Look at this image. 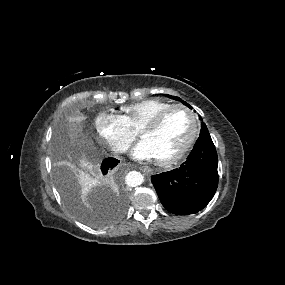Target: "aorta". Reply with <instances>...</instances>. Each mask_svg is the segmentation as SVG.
<instances>
[{
    "instance_id": "1",
    "label": "aorta",
    "mask_w": 285,
    "mask_h": 285,
    "mask_svg": "<svg viewBox=\"0 0 285 285\" xmlns=\"http://www.w3.org/2000/svg\"><path fill=\"white\" fill-rule=\"evenodd\" d=\"M144 181V176L136 171L129 172L126 176V183L131 187L141 185Z\"/></svg>"
}]
</instances>
